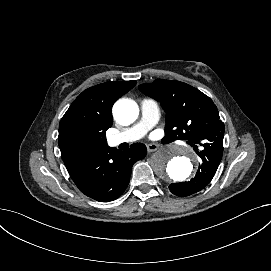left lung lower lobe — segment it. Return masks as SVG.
<instances>
[{
  "label": "left lung lower lobe",
  "mask_w": 271,
  "mask_h": 271,
  "mask_svg": "<svg viewBox=\"0 0 271 271\" xmlns=\"http://www.w3.org/2000/svg\"><path fill=\"white\" fill-rule=\"evenodd\" d=\"M190 144L194 146L195 143L190 142ZM197 154L203 162L199 167L196 176L188 182L170 184L169 189L173 194L180 197L194 194L206 187L214 177L223 152L203 148V150L197 151Z\"/></svg>",
  "instance_id": "obj_1"
}]
</instances>
